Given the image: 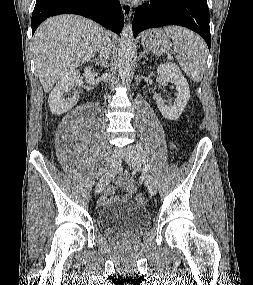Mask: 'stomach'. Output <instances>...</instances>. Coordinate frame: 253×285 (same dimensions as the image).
Returning a JSON list of instances; mask_svg holds the SVG:
<instances>
[{
	"mask_svg": "<svg viewBox=\"0 0 253 285\" xmlns=\"http://www.w3.org/2000/svg\"><path fill=\"white\" fill-rule=\"evenodd\" d=\"M141 45L156 55H163L170 50L172 42L162 29H151L142 36Z\"/></svg>",
	"mask_w": 253,
	"mask_h": 285,
	"instance_id": "stomach-1",
	"label": "stomach"
}]
</instances>
